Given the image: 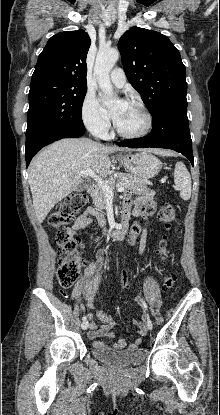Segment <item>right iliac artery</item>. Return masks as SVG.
<instances>
[{"instance_id":"obj_1","label":"right iliac artery","mask_w":220,"mask_h":415,"mask_svg":"<svg viewBox=\"0 0 220 415\" xmlns=\"http://www.w3.org/2000/svg\"><path fill=\"white\" fill-rule=\"evenodd\" d=\"M82 320H83V321H86V320H87V317H86V316H83V317H82Z\"/></svg>"}]
</instances>
